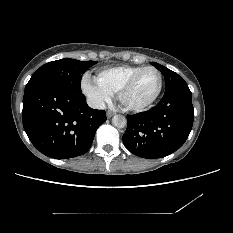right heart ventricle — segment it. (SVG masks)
Masks as SVG:
<instances>
[{
	"label": "right heart ventricle",
	"instance_id": "1",
	"mask_svg": "<svg viewBox=\"0 0 233 233\" xmlns=\"http://www.w3.org/2000/svg\"><path fill=\"white\" fill-rule=\"evenodd\" d=\"M143 66L120 65L98 72L96 83L111 96L117 95L124 83Z\"/></svg>",
	"mask_w": 233,
	"mask_h": 233
}]
</instances>
